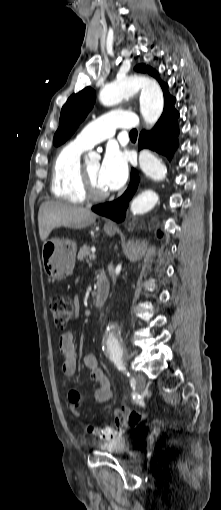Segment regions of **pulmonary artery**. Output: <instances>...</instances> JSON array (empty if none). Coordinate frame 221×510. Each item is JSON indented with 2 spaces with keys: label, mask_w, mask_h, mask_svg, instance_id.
I'll use <instances>...</instances> for the list:
<instances>
[{
  "label": "pulmonary artery",
  "mask_w": 221,
  "mask_h": 510,
  "mask_svg": "<svg viewBox=\"0 0 221 510\" xmlns=\"http://www.w3.org/2000/svg\"><path fill=\"white\" fill-rule=\"evenodd\" d=\"M138 127L139 120L134 113L113 111L87 124L78 133L75 141L86 148H91L112 137L117 128L136 129Z\"/></svg>",
  "instance_id": "1"
}]
</instances>
